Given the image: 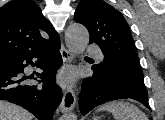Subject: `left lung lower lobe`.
Segmentation results:
<instances>
[{"mask_svg": "<svg viewBox=\"0 0 165 120\" xmlns=\"http://www.w3.org/2000/svg\"><path fill=\"white\" fill-rule=\"evenodd\" d=\"M92 70L93 74L83 80L79 95V107L83 115L105 102L126 98L137 100L150 109L145 85L121 81L113 73H102L96 64Z\"/></svg>", "mask_w": 165, "mask_h": 120, "instance_id": "obj_1", "label": "left lung lower lobe"}]
</instances>
